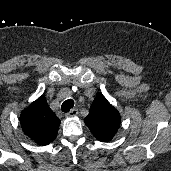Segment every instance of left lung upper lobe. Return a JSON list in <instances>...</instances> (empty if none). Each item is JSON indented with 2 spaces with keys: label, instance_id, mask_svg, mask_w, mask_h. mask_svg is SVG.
Wrapping results in <instances>:
<instances>
[{
  "label": "left lung upper lobe",
  "instance_id": "5c2ea615",
  "mask_svg": "<svg viewBox=\"0 0 171 171\" xmlns=\"http://www.w3.org/2000/svg\"><path fill=\"white\" fill-rule=\"evenodd\" d=\"M120 121L118 111L101 93L97 94L90 107L89 115L84 119L92 134L102 142L110 141L114 137Z\"/></svg>",
  "mask_w": 171,
  "mask_h": 171
}]
</instances>
